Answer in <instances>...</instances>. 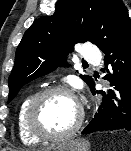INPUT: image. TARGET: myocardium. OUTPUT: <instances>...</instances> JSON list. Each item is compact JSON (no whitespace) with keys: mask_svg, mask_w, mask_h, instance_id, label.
Returning a JSON list of instances; mask_svg holds the SVG:
<instances>
[{"mask_svg":"<svg viewBox=\"0 0 131 151\" xmlns=\"http://www.w3.org/2000/svg\"><path fill=\"white\" fill-rule=\"evenodd\" d=\"M54 93H63L72 98L78 109V114L76 121L74 124L66 131L60 133V134H48L42 132L36 124V115H37V110L39 108L40 103L49 95L54 94ZM85 117V112L83 105L79 98L76 96V94L67 86L65 85H51L48 87L43 88L42 90L38 91L31 99L27 110L25 114V125L27 128V131L32 135L34 138L42 141H52V142H57V141H62L65 140L72 135H74L82 126L83 121Z\"/></svg>","mask_w":131,"mask_h":151,"instance_id":"1","label":"myocardium"}]
</instances>
